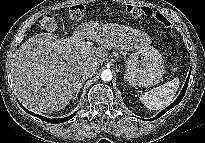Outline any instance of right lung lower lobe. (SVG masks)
<instances>
[{"label":"right lung lower lobe","instance_id":"obj_1","mask_svg":"<svg viewBox=\"0 0 205 143\" xmlns=\"http://www.w3.org/2000/svg\"><path fill=\"white\" fill-rule=\"evenodd\" d=\"M20 106H21L28 114H31V115H33V116H35V117H37V118H39V119H41V120H43V121H46V122H48V123H63V122H66V121L70 120V119L75 115V113H74V114H72V115H70V116H68V117H65V118L49 119V118L40 116V115H38V114H35V113H33V112L27 110V109H26L25 107H23L21 104H20Z\"/></svg>","mask_w":205,"mask_h":143}]
</instances>
